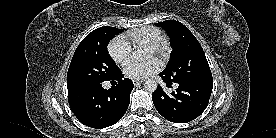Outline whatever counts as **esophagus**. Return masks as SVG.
Wrapping results in <instances>:
<instances>
[{"mask_svg":"<svg viewBox=\"0 0 276 138\" xmlns=\"http://www.w3.org/2000/svg\"><path fill=\"white\" fill-rule=\"evenodd\" d=\"M143 81H140V80H133V84L135 86H138L139 84H141Z\"/></svg>","mask_w":276,"mask_h":138,"instance_id":"obj_1","label":"esophagus"}]
</instances>
